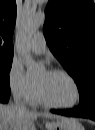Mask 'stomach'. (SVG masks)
<instances>
[{
	"label": "stomach",
	"mask_w": 95,
	"mask_h": 130,
	"mask_svg": "<svg viewBox=\"0 0 95 130\" xmlns=\"http://www.w3.org/2000/svg\"><path fill=\"white\" fill-rule=\"evenodd\" d=\"M46 130H84L82 124L75 118H62L46 123Z\"/></svg>",
	"instance_id": "1"
}]
</instances>
